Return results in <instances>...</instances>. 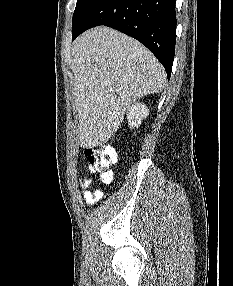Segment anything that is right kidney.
<instances>
[{"instance_id": "ca27d5eb", "label": "right kidney", "mask_w": 233, "mask_h": 286, "mask_svg": "<svg viewBox=\"0 0 233 286\" xmlns=\"http://www.w3.org/2000/svg\"><path fill=\"white\" fill-rule=\"evenodd\" d=\"M128 111L127 119L131 129L138 127L141 124V120L149 115V109L144 103H134Z\"/></svg>"}]
</instances>
